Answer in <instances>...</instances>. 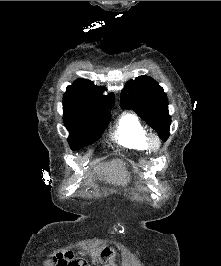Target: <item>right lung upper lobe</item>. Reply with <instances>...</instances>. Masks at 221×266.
<instances>
[{"mask_svg":"<svg viewBox=\"0 0 221 266\" xmlns=\"http://www.w3.org/2000/svg\"><path fill=\"white\" fill-rule=\"evenodd\" d=\"M104 88L95 86L84 79L76 80L68 86L64 94L63 106L74 114L81 116H105L114 105V95H103Z\"/></svg>","mask_w":221,"mask_h":266,"instance_id":"obj_1","label":"right lung upper lobe"}]
</instances>
